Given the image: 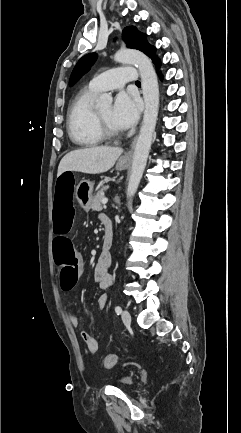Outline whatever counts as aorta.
Wrapping results in <instances>:
<instances>
[{"label":"aorta","instance_id":"aorta-1","mask_svg":"<svg viewBox=\"0 0 241 433\" xmlns=\"http://www.w3.org/2000/svg\"><path fill=\"white\" fill-rule=\"evenodd\" d=\"M116 62L137 66L142 84L145 110L139 136L136 141L132 170L127 187V196L132 197L140 184L146 167L159 110V86L151 60L142 52L133 49H120L114 56ZM98 106L112 103L110 94H102L96 101Z\"/></svg>","mask_w":241,"mask_h":433}]
</instances>
